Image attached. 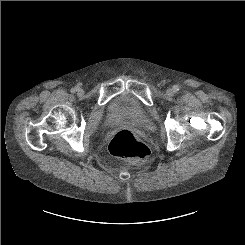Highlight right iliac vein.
I'll return each instance as SVG.
<instances>
[{
  "label": "right iliac vein",
  "mask_w": 245,
  "mask_h": 245,
  "mask_svg": "<svg viewBox=\"0 0 245 245\" xmlns=\"http://www.w3.org/2000/svg\"><path fill=\"white\" fill-rule=\"evenodd\" d=\"M83 94H84V90H83V89H81V88H80V89H78V95H79V96H82Z\"/></svg>",
  "instance_id": "63e3f726"
}]
</instances>
